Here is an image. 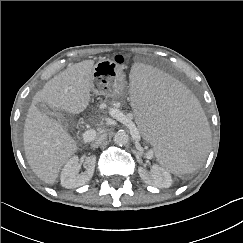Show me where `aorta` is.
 I'll return each instance as SVG.
<instances>
[{
	"label": "aorta",
	"instance_id": "1",
	"mask_svg": "<svg viewBox=\"0 0 243 243\" xmlns=\"http://www.w3.org/2000/svg\"><path fill=\"white\" fill-rule=\"evenodd\" d=\"M113 141L115 144H117L119 146H124L128 143L129 136L125 131L121 130V131L116 132V134L114 135Z\"/></svg>",
	"mask_w": 243,
	"mask_h": 243
}]
</instances>
